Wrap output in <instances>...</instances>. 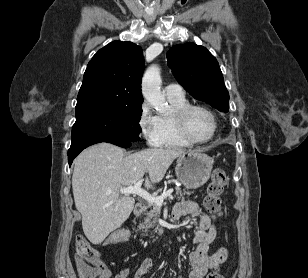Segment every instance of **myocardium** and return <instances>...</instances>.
Here are the masks:
<instances>
[{"label": "myocardium", "instance_id": "obj_1", "mask_svg": "<svg viewBox=\"0 0 308 278\" xmlns=\"http://www.w3.org/2000/svg\"><path fill=\"white\" fill-rule=\"evenodd\" d=\"M194 109H200L205 111L212 119L213 122V129L211 134L205 138V139H196L194 137H192L190 135V133L188 132L187 128H186V117L189 114L190 111L194 110ZM172 121L174 123V126L178 132V134L187 142H189L190 144H204L207 143L209 141H211L214 136L217 133L218 130V122H217V118L214 114V112L209 109L208 107L201 105V104H191V103H187L184 106L176 109L173 111L172 115H171Z\"/></svg>", "mask_w": 308, "mask_h": 278}]
</instances>
